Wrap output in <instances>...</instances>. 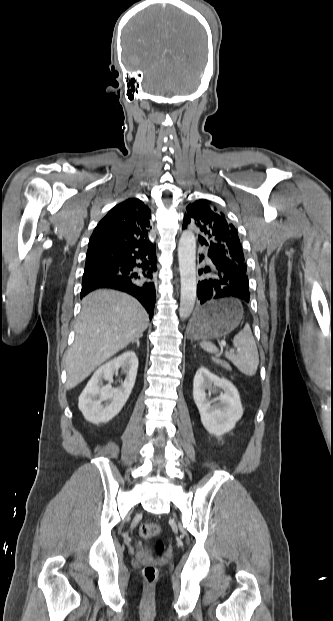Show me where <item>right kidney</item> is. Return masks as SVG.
<instances>
[{"instance_id":"obj_1","label":"right kidney","mask_w":333,"mask_h":621,"mask_svg":"<svg viewBox=\"0 0 333 621\" xmlns=\"http://www.w3.org/2000/svg\"><path fill=\"white\" fill-rule=\"evenodd\" d=\"M119 368H122L126 378L121 386L113 388V375ZM137 369L138 358L130 350L99 367L79 396L78 407L85 419L97 424L114 418L131 394ZM104 380L108 381L107 385H103Z\"/></svg>"}]
</instances>
